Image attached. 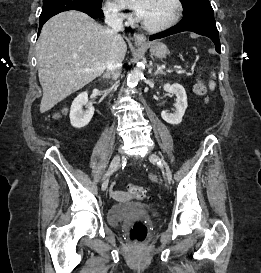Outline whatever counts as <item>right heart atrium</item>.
I'll list each match as a JSON object with an SVG mask.
<instances>
[{"label": "right heart atrium", "instance_id": "d8ad5b80", "mask_svg": "<svg viewBox=\"0 0 261 273\" xmlns=\"http://www.w3.org/2000/svg\"><path fill=\"white\" fill-rule=\"evenodd\" d=\"M105 15L108 19L121 22L126 19V14L122 7L114 0H108L104 7Z\"/></svg>", "mask_w": 261, "mask_h": 273}]
</instances>
